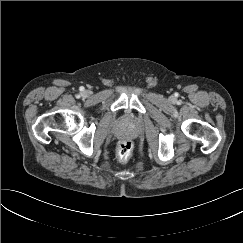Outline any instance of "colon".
Here are the masks:
<instances>
[{"label":"colon","mask_w":243,"mask_h":243,"mask_svg":"<svg viewBox=\"0 0 243 243\" xmlns=\"http://www.w3.org/2000/svg\"><path fill=\"white\" fill-rule=\"evenodd\" d=\"M132 148H133V144L131 141L128 140L121 141L117 147L118 158L121 161H126L132 152Z\"/></svg>","instance_id":"5ec220e1"}]
</instances>
